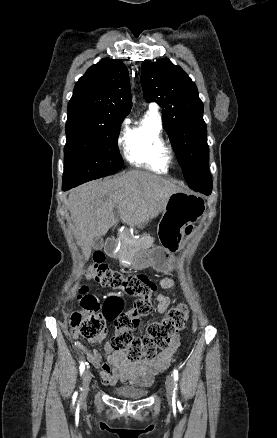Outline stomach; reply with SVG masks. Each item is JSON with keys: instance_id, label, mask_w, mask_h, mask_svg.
<instances>
[{"instance_id": "obj_1", "label": "stomach", "mask_w": 277, "mask_h": 438, "mask_svg": "<svg viewBox=\"0 0 277 438\" xmlns=\"http://www.w3.org/2000/svg\"><path fill=\"white\" fill-rule=\"evenodd\" d=\"M205 207L204 201L197 194L183 189L172 193L166 201L157 226L161 246L136 254L132 267H152L159 272L172 270L174 254L182 248L185 227L199 220Z\"/></svg>"}]
</instances>
